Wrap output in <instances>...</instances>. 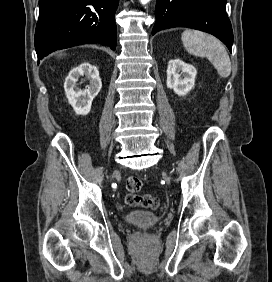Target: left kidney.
Segmentation results:
<instances>
[{
	"instance_id": "obj_1",
	"label": "left kidney",
	"mask_w": 272,
	"mask_h": 282,
	"mask_svg": "<svg viewBox=\"0 0 272 282\" xmlns=\"http://www.w3.org/2000/svg\"><path fill=\"white\" fill-rule=\"evenodd\" d=\"M196 74L193 65L181 59L170 60L167 67V87L177 95L184 96L194 87Z\"/></svg>"
}]
</instances>
